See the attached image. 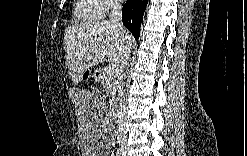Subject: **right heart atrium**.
<instances>
[{
    "label": "right heart atrium",
    "instance_id": "right-heart-atrium-1",
    "mask_svg": "<svg viewBox=\"0 0 247 156\" xmlns=\"http://www.w3.org/2000/svg\"><path fill=\"white\" fill-rule=\"evenodd\" d=\"M99 3L101 5V12L103 15L111 11L113 8H115L118 5V2L115 0H103V1H99Z\"/></svg>",
    "mask_w": 247,
    "mask_h": 156
}]
</instances>
